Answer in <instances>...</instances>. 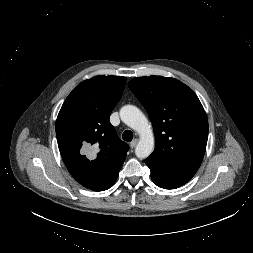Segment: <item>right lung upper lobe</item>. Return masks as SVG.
<instances>
[{
  "mask_svg": "<svg viewBox=\"0 0 253 253\" xmlns=\"http://www.w3.org/2000/svg\"><path fill=\"white\" fill-rule=\"evenodd\" d=\"M126 78L95 76L81 82L64 101L56 120L62 159L84 187L103 191L117 179L128 145L116 134L110 114L122 96ZM88 146L93 157L84 155Z\"/></svg>",
  "mask_w": 253,
  "mask_h": 253,
  "instance_id": "right-lung-upper-lobe-1",
  "label": "right lung upper lobe"
}]
</instances>
